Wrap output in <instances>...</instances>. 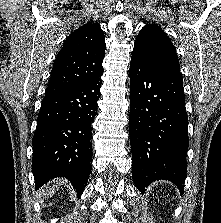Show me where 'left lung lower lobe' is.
Here are the masks:
<instances>
[{"label": "left lung lower lobe", "mask_w": 221, "mask_h": 223, "mask_svg": "<svg viewBox=\"0 0 221 223\" xmlns=\"http://www.w3.org/2000/svg\"><path fill=\"white\" fill-rule=\"evenodd\" d=\"M130 85L134 183L143 193L153 181L165 179L182 193L189 146L182 75L132 55Z\"/></svg>", "instance_id": "obj_1"}]
</instances>
